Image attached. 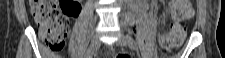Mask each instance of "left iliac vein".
<instances>
[{
    "mask_svg": "<svg viewBox=\"0 0 225 58\" xmlns=\"http://www.w3.org/2000/svg\"><path fill=\"white\" fill-rule=\"evenodd\" d=\"M129 43V39L125 35H119L117 44L121 46H126Z\"/></svg>",
    "mask_w": 225,
    "mask_h": 58,
    "instance_id": "obj_1",
    "label": "left iliac vein"
}]
</instances>
